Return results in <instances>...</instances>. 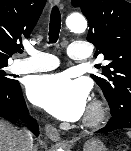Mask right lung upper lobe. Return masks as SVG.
Instances as JSON below:
<instances>
[{
  "instance_id": "1",
  "label": "right lung upper lobe",
  "mask_w": 131,
  "mask_h": 151,
  "mask_svg": "<svg viewBox=\"0 0 131 151\" xmlns=\"http://www.w3.org/2000/svg\"><path fill=\"white\" fill-rule=\"evenodd\" d=\"M45 3L46 0H0V63H7L20 49L21 37L30 36Z\"/></svg>"
}]
</instances>
